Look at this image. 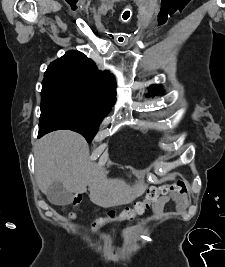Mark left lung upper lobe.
Wrapping results in <instances>:
<instances>
[{"mask_svg": "<svg viewBox=\"0 0 225 267\" xmlns=\"http://www.w3.org/2000/svg\"><path fill=\"white\" fill-rule=\"evenodd\" d=\"M162 90V86L152 85L149 88V92L152 96L158 95Z\"/></svg>", "mask_w": 225, "mask_h": 267, "instance_id": "1", "label": "left lung upper lobe"}]
</instances>
